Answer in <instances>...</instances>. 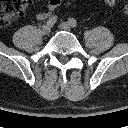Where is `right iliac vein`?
<instances>
[{
  "label": "right iliac vein",
  "mask_w": 128,
  "mask_h": 128,
  "mask_svg": "<svg viewBox=\"0 0 128 128\" xmlns=\"http://www.w3.org/2000/svg\"><path fill=\"white\" fill-rule=\"evenodd\" d=\"M42 32H43V34H49L50 32H51V27L49 26V25H44L43 27H42Z\"/></svg>",
  "instance_id": "63e3f726"
}]
</instances>
